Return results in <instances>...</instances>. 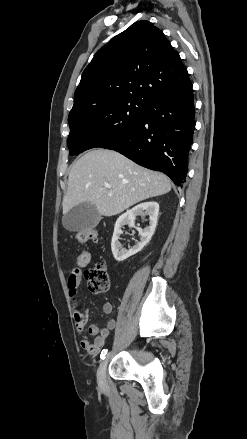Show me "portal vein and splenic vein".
I'll return each instance as SVG.
<instances>
[{"label":"portal vein and splenic vein","instance_id":"portal-vein-and-splenic-vein-1","mask_svg":"<svg viewBox=\"0 0 247 439\" xmlns=\"http://www.w3.org/2000/svg\"><path fill=\"white\" fill-rule=\"evenodd\" d=\"M104 185H105V187H107V188H111V185L108 184V183H105Z\"/></svg>","mask_w":247,"mask_h":439}]
</instances>
